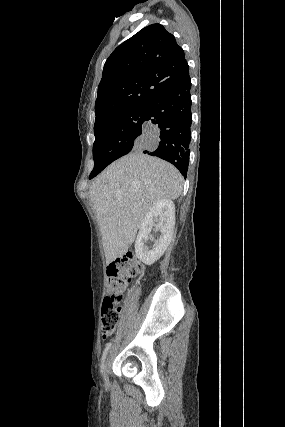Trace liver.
I'll list each match as a JSON object with an SVG mask.
<instances>
[{
  "label": "liver",
  "instance_id": "1",
  "mask_svg": "<svg viewBox=\"0 0 285 427\" xmlns=\"http://www.w3.org/2000/svg\"><path fill=\"white\" fill-rule=\"evenodd\" d=\"M182 184L173 165L141 152L123 156L94 180L89 193L107 263L134 242L145 215L157 202L179 197Z\"/></svg>",
  "mask_w": 285,
  "mask_h": 427
}]
</instances>
